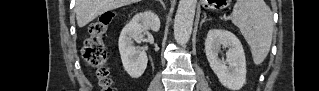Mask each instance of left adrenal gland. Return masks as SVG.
Wrapping results in <instances>:
<instances>
[{
	"label": "left adrenal gland",
	"mask_w": 319,
	"mask_h": 91,
	"mask_svg": "<svg viewBox=\"0 0 319 91\" xmlns=\"http://www.w3.org/2000/svg\"><path fill=\"white\" fill-rule=\"evenodd\" d=\"M207 20H209V19H207L206 13H204V18H203L202 21H201V25H202L205 21H207Z\"/></svg>",
	"instance_id": "obj_1"
}]
</instances>
